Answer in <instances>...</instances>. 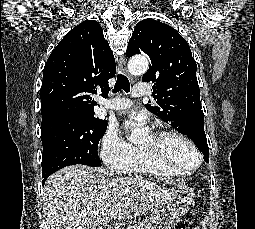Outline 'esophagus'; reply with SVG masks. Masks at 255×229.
Returning <instances> with one entry per match:
<instances>
[{
  "mask_svg": "<svg viewBox=\"0 0 255 229\" xmlns=\"http://www.w3.org/2000/svg\"><path fill=\"white\" fill-rule=\"evenodd\" d=\"M118 66L120 70L123 72L124 75H126L130 80H132V76L129 74L127 69V63L124 56H119L118 59Z\"/></svg>",
  "mask_w": 255,
  "mask_h": 229,
  "instance_id": "1",
  "label": "esophagus"
}]
</instances>
